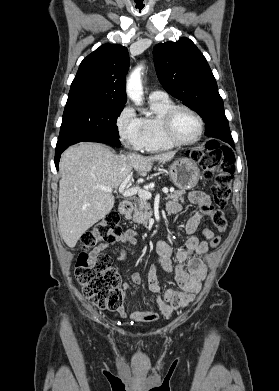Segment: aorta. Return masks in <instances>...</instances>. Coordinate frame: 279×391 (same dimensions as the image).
I'll return each mask as SVG.
<instances>
[{"label": "aorta", "instance_id": "1", "mask_svg": "<svg viewBox=\"0 0 279 391\" xmlns=\"http://www.w3.org/2000/svg\"><path fill=\"white\" fill-rule=\"evenodd\" d=\"M143 66L136 67L129 76L126 85L127 96L136 104L140 105L143 99L142 75Z\"/></svg>", "mask_w": 279, "mask_h": 391}]
</instances>
